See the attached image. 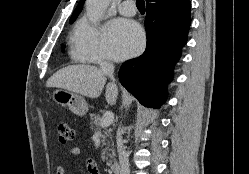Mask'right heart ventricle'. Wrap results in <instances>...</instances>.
<instances>
[{
	"label": "right heart ventricle",
	"instance_id": "e07e8e85",
	"mask_svg": "<svg viewBox=\"0 0 249 174\" xmlns=\"http://www.w3.org/2000/svg\"><path fill=\"white\" fill-rule=\"evenodd\" d=\"M78 27H79V25H77L75 28H74V32H73V34H72V40H74V37H75V34H76V32H77V29H78ZM73 56H74V54H73ZM75 57V56H74ZM76 59V58H75ZM77 60V59H76Z\"/></svg>",
	"mask_w": 249,
	"mask_h": 174
}]
</instances>
